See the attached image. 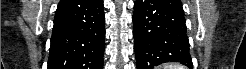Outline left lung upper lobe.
Returning a JSON list of instances; mask_svg holds the SVG:
<instances>
[{"mask_svg": "<svg viewBox=\"0 0 246 69\" xmlns=\"http://www.w3.org/2000/svg\"><path fill=\"white\" fill-rule=\"evenodd\" d=\"M165 1L168 2L169 5H171L174 9L184 14L182 3L180 0H165Z\"/></svg>", "mask_w": 246, "mask_h": 69, "instance_id": "left-lung-upper-lobe-1", "label": "left lung upper lobe"}]
</instances>
